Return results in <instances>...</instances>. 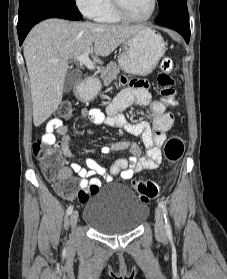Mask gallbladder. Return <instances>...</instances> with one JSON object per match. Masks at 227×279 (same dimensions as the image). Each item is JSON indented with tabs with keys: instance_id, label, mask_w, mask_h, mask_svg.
I'll return each mask as SVG.
<instances>
[{
	"instance_id": "obj_1",
	"label": "gallbladder",
	"mask_w": 227,
	"mask_h": 279,
	"mask_svg": "<svg viewBox=\"0 0 227 279\" xmlns=\"http://www.w3.org/2000/svg\"><path fill=\"white\" fill-rule=\"evenodd\" d=\"M81 72L79 70H69L64 81V92H69L80 80Z\"/></svg>"
}]
</instances>
